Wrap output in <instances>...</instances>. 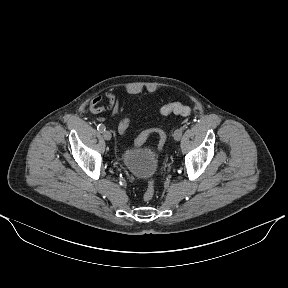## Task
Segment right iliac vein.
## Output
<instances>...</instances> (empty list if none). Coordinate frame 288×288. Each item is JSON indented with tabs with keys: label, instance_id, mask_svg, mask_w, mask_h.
Instances as JSON below:
<instances>
[{
	"label": "right iliac vein",
	"instance_id": "right-iliac-vein-1",
	"mask_svg": "<svg viewBox=\"0 0 288 288\" xmlns=\"http://www.w3.org/2000/svg\"><path fill=\"white\" fill-rule=\"evenodd\" d=\"M112 135L109 131H104L103 132V138L107 141H109L111 139Z\"/></svg>",
	"mask_w": 288,
	"mask_h": 288
}]
</instances>
